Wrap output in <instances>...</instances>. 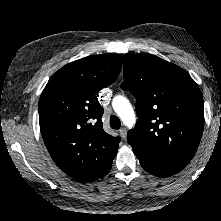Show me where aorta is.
Segmentation results:
<instances>
[{
	"label": "aorta",
	"instance_id": "762f6f07",
	"mask_svg": "<svg viewBox=\"0 0 221 221\" xmlns=\"http://www.w3.org/2000/svg\"><path fill=\"white\" fill-rule=\"evenodd\" d=\"M112 107L126 126L132 127L135 124V113L126 97L115 96L112 100Z\"/></svg>",
	"mask_w": 221,
	"mask_h": 221
}]
</instances>
